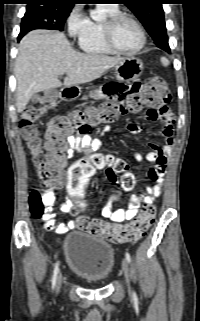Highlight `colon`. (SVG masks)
<instances>
[{"instance_id": "obj_1", "label": "colon", "mask_w": 200, "mask_h": 321, "mask_svg": "<svg viewBox=\"0 0 200 321\" xmlns=\"http://www.w3.org/2000/svg\"><path fill=\"white\" fill-rule=\"evenodd\" d=\"M143 90H136L133 98L121 97V101L112 104L104 102L98 106H87L67 115L53 118L47 130L46 151L44 152L35 122L47 110L55 107L56 94L44 95L41 105L28 107L20 120L21 134L26 148L31 155L32 163L43 187L49 189L56 181H67L65 198H72L73 207L84 211L88 207L85 201V185L93 173L107 165H112L117 172L124 173L121 186L129 190L134 186V177L126 173L127 163L122 159L108 161L103 155L92 154L71 165L65 172L68 147L67 135L73 131L88 133L95 126L115 121L128 112L139 111L145 107L163 109L170 101V92L165 81L159 76H152L143 82ZM116 98V97H115ZM29 206L35 218L43 217L48 211L42 199V193L34 190L29 196ZM76 210L73 213H76ZM156 215L154 205H145L139 215L127 224H111L98 218L80 216L77 227L94 235L106 238L113 243H129L142 238L152 225Z\"/></svg>"}]
</instances>
